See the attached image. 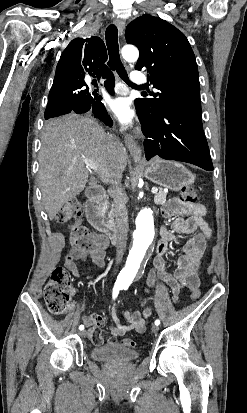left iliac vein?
<instances>
[{
	"mask_svg": "<svg viewBox=\"0 0 247 413\" xmlns=\"http://www.w3.org/2000/svg\"><path fill=\"white\" fill-rule=\"evenodd\" d=\"M159 331V327L157 325L152 326V332L157 333Z\"/></svg>",
	"mask_w": 247,
	"mask_h": 413,
	"instance_id": "4c4485c4",
	"label": "left iliac vein"
}]
</instances>
